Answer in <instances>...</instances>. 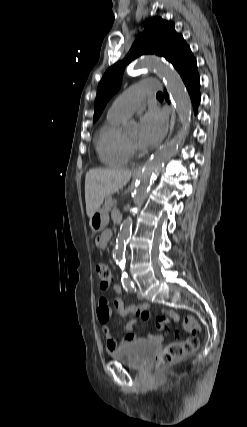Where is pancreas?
Masks as SVG:
<instances>
[{"label":"pancreas","instance_id":"1","mask_svg":"<svg viewBox=\"0 0 247 427\" xmlns=\"http://www.w3.org/2000/svg\"><path fill=\"white\" fill-rule=\"evenodd\" d=\"M115 205L114 200L111 196H107L105 199L104 210L109 212L112 207Z\"/></svg>","mask_w":247,"mask_h":427}]
</instances>
